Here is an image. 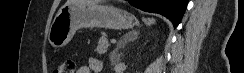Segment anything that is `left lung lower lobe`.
Segmentation results:
<instances>
[{"label": "left lung lower lobe", "instance_id": "1", "mask_svg": "<svg viewBox=\"0 0 244 73\" xmlns=\"http://www.w3.org/2000/svg\"><path fill=\"white\" fill-rule=\"evenodd\" d=\"M128 2L143 11L167 17L176 28L182 19L188 0H128Z\"/></svg>", "mask_w": 244, "mask_h": 73}]
</instances>
